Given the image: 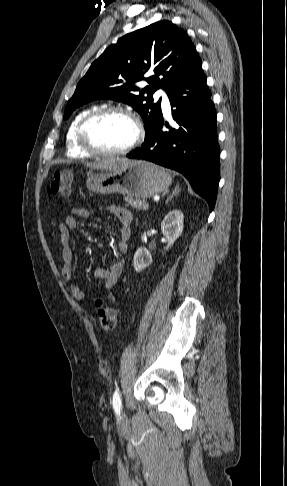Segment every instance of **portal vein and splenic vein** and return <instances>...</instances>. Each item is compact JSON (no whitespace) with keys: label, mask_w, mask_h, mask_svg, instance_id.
Here are the masks:
<instances>
[{"label":"portal vein and splenic vein","mask_w":287,"mask_h":486,"mask_svg":"<svg viewBox=\"0 0 287 486\" xmlns=\"http://www.w3.org/2000/svg\"><path fill=\"white\" fill-rule=\"evenodd\" d=\"M148 208H149L148 203H145V204L143 205V210H145V211H146V210H148Z\"/></svg>","instance_id":"1"}]
</instances>
